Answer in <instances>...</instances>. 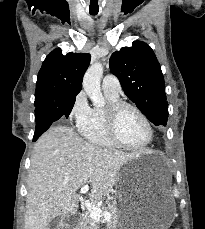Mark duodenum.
Instances as JSON below:
<instances>
[{
	"instance_id": "410a0bca",
	"label": "duodenum",
	"mask_w": 205,
	"mask_h": 229,
	"mask_svg": "<svg viewBox=\"0 0 205 229\" xmlns=\"http://www.w3.org/2000/svg\"><path fill=\"white\" fill-rule=\"evenodd\" d=\"M81 220V217L76 218L75 223H79Z\"/></svg>"
}]
</instances>
